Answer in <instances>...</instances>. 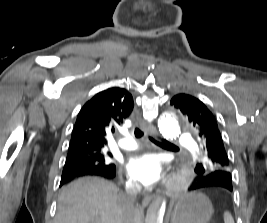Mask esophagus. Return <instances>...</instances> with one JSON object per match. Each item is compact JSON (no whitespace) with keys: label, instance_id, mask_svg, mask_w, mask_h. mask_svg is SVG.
I'll list each match as a JSON object with an SVG mask.
<instances>
[{"label":"esophagus","instance_id":"esophagus-1","mask_svg":"<svg viewBox=\"0 0 267 223\" xmlns=\"http://www.w3.org/2000/svg\"><path fill=\"white\" fill-rule=\"evenodd\" d=\"M140 127L145 132V134L148 136L156 137L158 135L157 130L152 125H149L145 122H140ZM152 199H153V196H151V195L145 196L142 199V205L147 206L151 202Z\"/></svg>","mask_w":267,"mask_h":223}]
</instances>
